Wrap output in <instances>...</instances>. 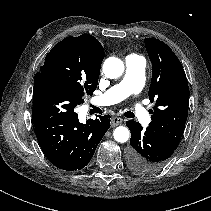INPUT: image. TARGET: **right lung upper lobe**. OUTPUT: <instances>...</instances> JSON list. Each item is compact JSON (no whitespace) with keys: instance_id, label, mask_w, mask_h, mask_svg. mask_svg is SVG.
Wrapping results in <instances>:
<instances>
[{"instance_id":"obj_1","label":"right lung upper lobe","mask_w":211,"mask_h":211,"mask_svg":"<svg viewBox=\"0 0 211 211\" xmlns=\"http://www.w3.org/2000/svg\"><path fill=\"white\" fill-rule=\"evenodd\" d=\"M68 38L72 39L74 45L91 59L95 70L100 71L101 63L105 56L104 49L100 42L95 37L88 34Z\"/></svg>"}]
</instances>
